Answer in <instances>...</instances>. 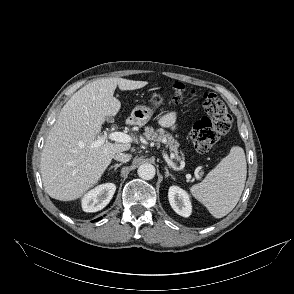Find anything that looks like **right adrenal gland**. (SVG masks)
<instances>
[{
  "label": "right adrenal gland",
  "instance_id": "1",
  "mask_svg": "<svg viewBox=\"0 0 294 294\" xmlns=\"http://www.w3.org/2000/svg\"><path fill=\"white\" fill-rule=\"evenodd\" d=\"M121 165H122V163L112 165V166H110L109 170H111L113 168H114V170H117V168L120 167Z\"/></svg>",
  "mask_w": 294,
  "mask_h": 294
}]
</instances>
